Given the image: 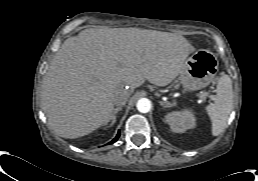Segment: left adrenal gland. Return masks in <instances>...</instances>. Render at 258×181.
<instances>
[{
    "mask_svg": "<svg viewBox=\"0 0 258 181\" xmlns=\"http://www.w3.org/2000/svg\"><path fill=\"white\" fill-rule=\"evenodd\" d=\"M159 103L164 107V108H169V107H173L175 105V103H170V102H163V101H159Z\"/></svg>",
    "mask_w": 258,
    "mask_h": 181,
    "instance_id": "1",
    "label": "left adrenal gland"
}]
</instances>
